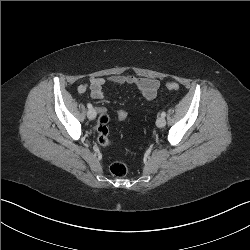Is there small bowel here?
I'll return each instance as SVG.
<instances>
[{
	"label": "small bowel",
	"instance_id": "small-bowel-1",
	"mask_svg": "<svg viewBox=\"0 0 250 250\" xmlns=\"http://www.w3.org/2000/svg\"><path fill=\"white\" fill-rule=\"evenodd\" d=\"M113 85H130L141 91L143 97L147 101H152L157 96L159 88V81L151 78H139L134 76L113 75L107 79L100 77H93L86 83H82L78 86L77 91L79 94H84L87 90H90L91 97L97 100H101L105 97L104 86L107 84ZM99 113H105L104 108H99Z\"/></svg>",
	"mask_w": 250,
	"mask_h": 250
}]
</instances>
